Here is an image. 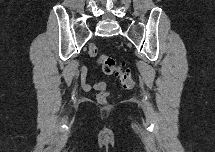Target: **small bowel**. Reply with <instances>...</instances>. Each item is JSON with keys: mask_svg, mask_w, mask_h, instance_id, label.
Segmentation results:
<instances>
[{"mask_svg": "<svg viewBox=\"0 0 215 152\" xmlns=\"http://www.w3.org/2000/svg\"><path fill=\"white\" fill-rule=\"evenodd\" d=\"M82 87L84 90H90L91 88L95 90H104L106 88V84L104 82L100 81H94L93 83H90L87 80L86 73L84 70L83 76H82Z\"/></svg>", "mask_w": 215, "mask_h": 152, "instance_id": "small-bowel-1", "label": "small bowel"}]
</instances>
